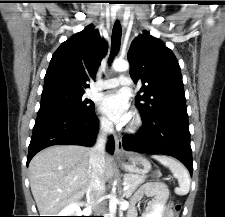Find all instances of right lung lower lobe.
<instances>
[{
  "label": "right lung lower lobe",
  "instance_id": "right-lung-lower-lobe-1",
  "mask_svg": "<svg viewBox=\"0 0 225 217\" xmlns=\"http://www.w3.org/2000/svg\"><path fill=\"white\" fill-rule=\"evenodd\" d=\"M98 131L95 111L85 113L46 108L39 109L29 145L27 165L33 156L52 145L92 146ZM115 143L109 138L107 150L114 152Z\"/></svg>",
  "mask_w": 225,
  "mask_h": 217
}]
</instances>
